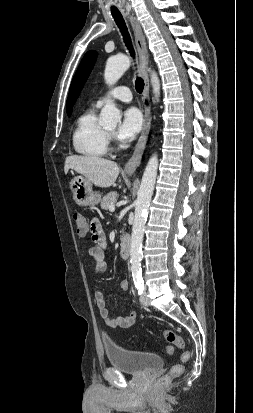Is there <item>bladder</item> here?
I'll return each instance as SVG.
<instances>
[{"label": "bladder", "instance_id": "31cf9c89", "mask_svg": "<svg viewBox=\"0 0 253 413\" xmlns=\"http://www.w3.org/2000/svg\"><path fill=\"white\" fill-rule=\"evenodd\" d=\"M103 348L111 366L133 375L147 373L164 363L158 354L126 349L110 341H104Z\"/></svg>", "mask_w": 253, "mask_h": 413}]
</instances>
